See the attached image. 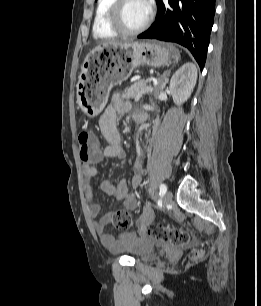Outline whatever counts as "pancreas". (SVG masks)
<instances>
[{
    "label": "pancreas",
    "instance_id": "1",
    "mask_svg": "<svg viewBox=\"0 0 261 306\" xmlns=\"http://www.w3.org/2000/svg\"><path fill=\"white\" fill-rule=\"evenodd\" d=\"M150 87L149 91H146L147 88ZM158 87L153 88L150 85H148L147 81H138L135 82L131 87L126 88L125 91L122 93L123 99H130V98H136L137 96H143L145 93H158Z\"/></svg>",
    "mask_w": 261,
    "mask_h": 306
}]
</instances>
